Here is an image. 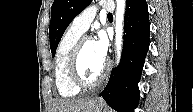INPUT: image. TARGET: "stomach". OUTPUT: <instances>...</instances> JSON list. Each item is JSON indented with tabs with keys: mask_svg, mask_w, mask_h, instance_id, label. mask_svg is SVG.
<instances>
[{
	"mask_svg": "<svg viewBox=\"0 0 193 112\" xmlns=\"http://www.w3.org/2000/svg\"><path fill=\"white\" fill-rule=\"evenodd\" d=\"M103 110V104L100 101L95 100L92 105L91 112H102Z\"/></svg>",
	"mask_w": 193,
	"mask_h": 112,
	"instance_id": "1",
	"label": "stomach"
}]
</instances>
